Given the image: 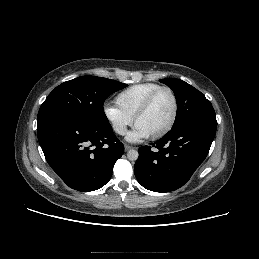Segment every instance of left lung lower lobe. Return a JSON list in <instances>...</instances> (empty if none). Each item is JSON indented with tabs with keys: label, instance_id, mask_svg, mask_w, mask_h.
Returning a JSON list of instances; mask_svg holds the SVG:
<instances>
[{
	"label": "left lung lower lobe",
	"instance_id": "1",
	"mask_svg": "<svg viewBox=\"0 0 259 259\" xmlns=\"http://www.w3.org/2000/svg\"><path fill=\"white\" fill-rule=\"evenodd\" d=\"M217 124L190 121L157 140L153 147L139 148L134 166L137 181L155 192H170L183 186L208 155Z\"/></svg>",
	"mask_w": 259,
	"mask_h": 259
}]
</instances>
